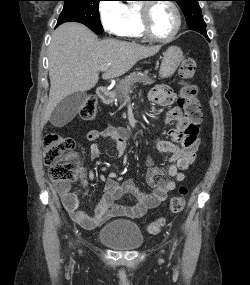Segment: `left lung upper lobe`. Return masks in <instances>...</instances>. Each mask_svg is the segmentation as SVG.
<instances>
[{
  "label": "left lung upper lobe",
  "instance_id": "5c2ea615",
  "mask_svg": "<svg viewBox=\"0 0 250 285\" xmlns=\"http://www.w3.org/2000/svg\"><path fill=\"white\" fill-rule=\"evenodd\" d=\"M182 9L188 26L191 30L199 33H206L204 22L198 1L200 0H174Z\"/></svg>",
  "mask_w": 250,
  "mask_h": 285
}]
</instances>
